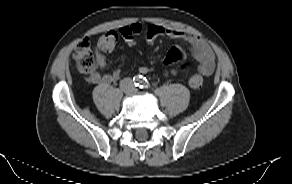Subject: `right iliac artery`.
Returning a JSON list of instances; mask_svg holds the SVG:
<instances>
[{
  "label": "right iliac artery",
  "mask_w": 292,
  "mask_h": 184,
  "mask_svg": "<svg viewBox=\"0 0 292 184\" xmlns=\"http://www.w3.org/2000/svg\"><path fill=\"white\" fill-rule=\"evenodd\" d=\"M141 76H136L135 78H134V84H135V86H140V84H141Z\"/></svg>",
  "instance_id": "obj_1"
}]
</instances>
